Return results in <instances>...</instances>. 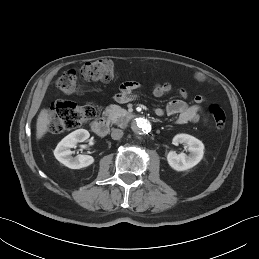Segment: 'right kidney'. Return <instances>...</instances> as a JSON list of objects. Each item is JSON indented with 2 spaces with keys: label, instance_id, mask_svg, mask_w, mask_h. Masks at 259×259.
<instances>
[{
  "label": "right kidney",
  "instance_id": "1",
  "mask_svg": "<svg viewBox=\"0 0 259 259\" xmlns=\"http://www.w3.org/2000/svg\"><path fill=\"white\" fill-rule=\"evenodd\" d=\"M90 134L85 129H78L64 137L54 150L55 158L65 166L71 169H80L91 165L94 158L90 155H77L72 157L70 148H75L77 143L84 142Z\"/></svg>",
  "mask_w": 259,
  "mask_h": 259
}]
</instances>
